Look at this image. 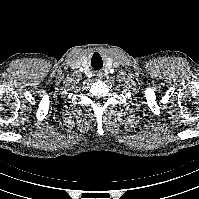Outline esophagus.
<instances>
[{"instance_id":"esophagus-1","label":"esophagus","mask_w":199,"mask_h":199,"mask_svg":"<svg viewBox=\"0 0 199 199\" xmlns=\"http://www.w3.org/2000/svg\"><path fill=\"white\" fill-rule=\"evenodd\" d=\"M101 76V74H97V77H100Z\"/></svg>"}]
</instances>
